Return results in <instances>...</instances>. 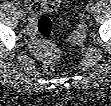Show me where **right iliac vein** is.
Instances as JSON below:
<instances>
[{
    "label": "right iliac vein",
    "mask_w": 111,
    "mask_h": 106,
    "mask_svg": "<svg viewBox=\"0 0 111 106\" xmlns=\"http://www.w3.org/2000/svg\"><path fill=\"white\" fill-rule=\"evenodd\" d=\"M19 18L21 20H24L26 18V14L25 13H19Z\"/></svg>",
    "instance_id": "obj_1"
}]
</instances>
